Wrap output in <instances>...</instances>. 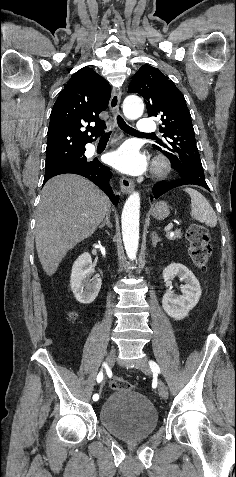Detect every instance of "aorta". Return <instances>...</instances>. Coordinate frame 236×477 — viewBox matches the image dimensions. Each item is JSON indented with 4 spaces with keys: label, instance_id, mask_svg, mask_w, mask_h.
<instances>
[{
    "label": "aorta",
    "instance_id": "aorta-1",
    "mask_svg": "<svg viewBox=\"0 0 236 477\" xmlns=\"http://www.w3.org/2000/svg\"><path fill=\"white\" fill-rule=\"evenodd\" d=\"M144 103L138 96L129 95L123 102V113L127 119L135 120L142 116ZM139 213L140 195L133 192L125 202L122 211V237L126 254L130 260H134L138 251L139 243Z\"/></svg>",
    "mask_w": 236,
    "mask_h": 477
}]
</instances>
